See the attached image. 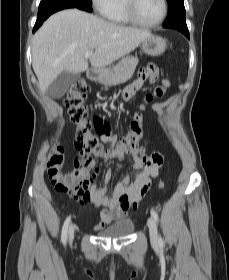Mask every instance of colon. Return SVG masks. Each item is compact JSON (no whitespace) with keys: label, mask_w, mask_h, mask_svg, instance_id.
Masks as SVG:
<instances>
[{"label":"colon","mask_w":229,"mask_h":280,"mask_svg":"<svg viewBox=\"0 0 229 280\" xmlns=\"http://www.w3.org/2000/svg\"><path fill=\"white\" fill-rule=\"evenodd\" d=\"M87 96V86L85 81L77 80L73 82L67 93V106L69 108L70 120L75 125V143L80 153L79 163L82 166L88 165V161L84 157L92 155L94 157L110 160L114 157L115 151L107 148L101 142L99 136L93 134L92 128H97L99 133H110L112 128L106 121L88 118L84 103ZM143 137V119L137 115L131 122L129 131L123 136L121 142L117 146V152H130L137 148ZM64 163V148L57 144L48 161V174L51 178L59 180V170ZM164 164V157L160 152H152L144 161L145 167L151 172H158ZM96 179L95 173H89L88 178L84 182V187H88L94 183ZM164 182L158 187L163 188ZM58 187L61 190L74 192L76 188L65 181L59 180ZM150 188V182L143 185L139 191L140 196H144ZM136 204V202H135Z\"/></svg>","instance_id":"5ec220e1"}]
</instances>
